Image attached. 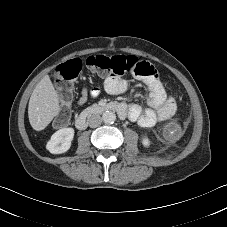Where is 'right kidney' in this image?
Returning a JSON list of instances; mask_svg holds the SVG:
<instances>
[{"instance_id":"1","label":"right kidney","mask_w":227,"mask_h":227,"mask_svg":"<svg viewBox=\"0 0 227 227\" xmlns=\"http://www.w3.org/2000/svg\"><path fill=\"white\" fill-rule=\"evenodd\" d=\"M74 137L73 128H63L56 131L47 142L46 149L52 154H61L68 151Z\"/></svg>"}]
</instances>
